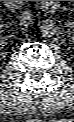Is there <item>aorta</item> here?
<instances>
[{"label": "aorta", "mask_w": 74, "mask_h": 122, "mask_svg": "<svg viewBox=\"0 0 74 122\" xmlns=\"http://www.w3.org/2000/svg\"><path fill=\"white\" fill-rule=\"evenodd\" d=\"M40 31L44 37H51L57 32L56 22L52 19H47L40 27Z\"/></svg>", "instance_id": "aorta-1"}]
</instances>
